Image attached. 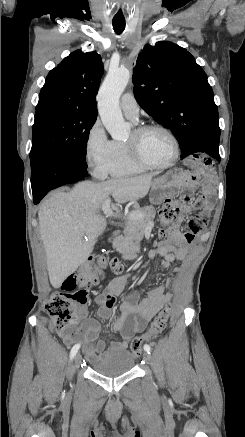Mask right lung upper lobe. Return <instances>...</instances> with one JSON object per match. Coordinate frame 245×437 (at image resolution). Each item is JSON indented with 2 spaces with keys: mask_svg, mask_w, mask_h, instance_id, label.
Masks as SVG:
<instances>
[{
  "mask_svg": "<svg viewBox=\"0 0 245 437\" xmlns=\"http://www.w3.org/2000/svg\"><path fill=\"white\" fill-rule=\"evenodd\" d=\"M102 74L101 56L95 51L72 52L49 72L37 107L59 105L97 115L96 94Z\"/></svg>",
  "mask_w": 245,
  "mask_h": 437,
  "instance_id": "cb5924a9",
  "label": "right lung upper lobe"
}]
</instances>
